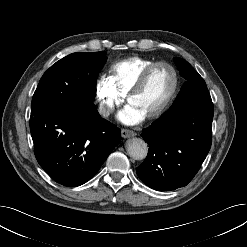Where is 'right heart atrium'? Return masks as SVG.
Masks as SVG:
<instances>
[{"instance_id": "d8ad5b80", "label": "right heart atrium", "mask_w": 247, "mask_h": 247, "mask_svg": "<svg viewBox=\"0 0 247 247\" xmlns=\"http://www.w3.org/2000/svg\"><path fill=\"white\" fill-rule=\"evenodd\" d=\"M94 98L98 112L104 118L110 117L124 102V96L119 94L105 77L96 80Z\"/></svg>"}]
</instances>
